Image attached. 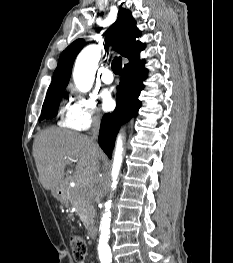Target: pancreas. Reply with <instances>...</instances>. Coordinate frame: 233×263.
Returning a JSON list of instances; mask_svg holds the SVG:
<instances>
[{
    "label": "pancreas",
    "mask_w": 233,
    "mask_h": 263,
    "mask_svg": "<svg viewBox=\"0 0 233 263\" xmlns=\"http://www.w3.org/2000/svg\"><path fill=\"white\" fill-rule=\"evenodd\" d=\"M70 202L75 207L76 213L80 217V220L83 222L85 227H89L91 224H93L95 209L93 207L90 193L81 192L78 187L71 188Z\"/></svg>",
    "instance_id": "cf45deb5"
}]
</instances>
